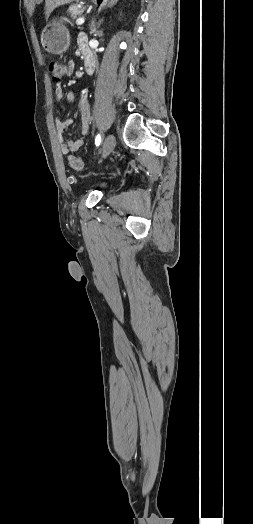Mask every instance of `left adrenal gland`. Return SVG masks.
<instances>
[{"instance_id":"obj_1","label":"left adrenal gland","mask_w":253,"mask_h":524,"mask_svg":"<svg viewBox=\"0 0 253 524\" xmlns=\"http://www.w3.org/2000/svg\"><path fill=\"white\" fill-rule=\"evenodd\" d=\"M91 33H96V26L94 21L91 24Z\"/></svg>"}]
</instances>
